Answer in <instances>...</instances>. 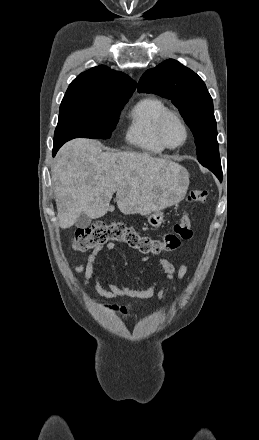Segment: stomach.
<instances>
[{"mask_svg": "<svg viewBox=\"0 0 259 440\" xmlns=\"http://www.w3.org/2000/svg\"><path fill=\"white\" fill-rule=\"evenodd\" d=\"M182 175H183L182 186L184 188H187L188 183H189L187 174L182 173ZM147 221H148L149 225H151L152 227L158 228L164 222V213L160 210L153 211L148 214Z\"/></svg>", "mask_w": 259, "mask_h": 440, "instance_id": "obj_1", "label": "stomach"}]
</instances>
